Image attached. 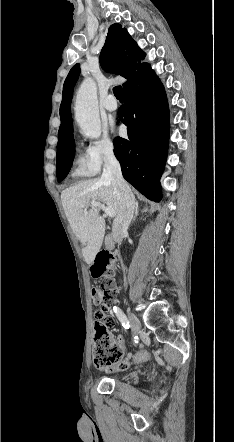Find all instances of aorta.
<instances>
[{
	"label": "aorta",
	"instance_id": "aorta-1",
	"mask_svg": "<svg viewBox=\"0 0 234 442\" xmlns=\"http://www.w3.org/2000/svg\"><path fill=\"white\" fill-rule=\"evenodd\" d=\"M75 117L82 133L89 138H99L101 123L98 111L97 87L93 80L81 84L75 104Z\"/></svg>",
	"mask_w": 234,
	"mask_h": 442
}]
</instances>
